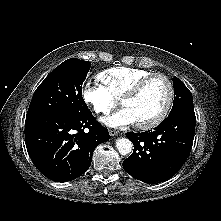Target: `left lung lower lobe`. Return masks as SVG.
<instances>
[{
    "instance_id": "left-lung-lower-lobe-1",
    "label": "left lung lower lobe",
    "mask_w": 221,
    "mask_h": 221,
    "mask_svg": "<svg viewBox=\"0 0 221 221\" xmlns=\"http://www.w3.org/2000/svg\"><path fill=\"white\" fill-rule=\"evenodd\" d=\"M195 125V114H175L153 130L126 133L134 150L123 161L124 170L146 183L168 179L182 167L190 154Z\"/></svg>"
}]
</instances>
